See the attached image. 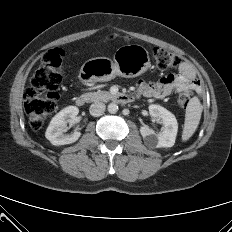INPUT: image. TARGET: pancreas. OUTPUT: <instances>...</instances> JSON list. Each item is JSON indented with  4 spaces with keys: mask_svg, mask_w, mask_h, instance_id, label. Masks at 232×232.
Returning a JSON list of instances; mask_svg holds the SVG:
<instances>
[{
    "mask_svg": "<svg viewBox=\"0 0 232 232\" xmlns=\"http://www.w3.org/2000/svg\"><path fill=\"white\" fill-rule=\"evenodd\" d=\"M85 96H87L91 102L107 101L114 98V95H112L110 92L101 90L87 93Z\"/></svg>",
    "mask_w": 232,
    "mask_h": 232,
    "instance_id": "1",
    "label": "pancreas"
}]
</instances>
